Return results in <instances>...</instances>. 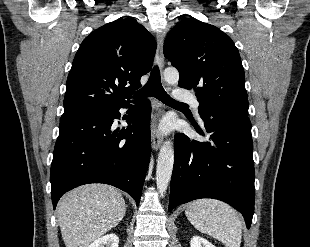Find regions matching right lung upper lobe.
<instances>
[{"instance_id": "obj_1", "label": "right lung upper lobe", "mask_w": 310, "mask_h": 247, "mask_svg": "<svg viewBox=\"0 0 310 247\" xmlns=\"http://www.w3.org/2000/svg\"><path fill=\"white\" fill-rule=\"evenodd\" d=\"M154 37L135 19L121 18L81 43L66 82L64 112L129 103L152 66ZM127 86V87H125Z\"/></svg>"}]
</instances>
